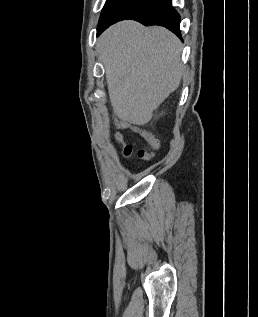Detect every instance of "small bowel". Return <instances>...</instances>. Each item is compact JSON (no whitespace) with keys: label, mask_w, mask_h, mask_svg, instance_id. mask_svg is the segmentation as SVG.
<instances>
[{"label":"small bowel","mask_w":258,"mask_h":317,"mask_svg":"<svg viewBox=\"0 0 258 317\" xmlns=\"http://www.w3.org/2000/svg\"><path fill=\"white\" fill-rule=\"evenodd\" d=\"M129 127V126H125ZM133 130H138L135 127H132ZM142 136L148 141V143L155 149H158L160 146V141L153 134L147 131H141Z\"/></svg>","instance_id":"c3829d8e"}]
</instances>
